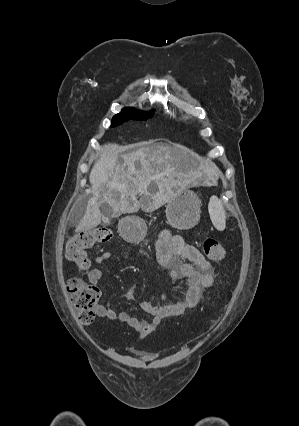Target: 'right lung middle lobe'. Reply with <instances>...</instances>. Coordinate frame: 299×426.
<instances>
[{
    "mask_svg": "<svg viewBox=\"0 0 299 426\" xmlns=\"http://www.w3.org/2000/svg\"><path fill=\"white\" fill-rule=\"evenodd\" d=\"M152 115L153 112L143 113L141 111H137L134 108H124L120 113L113 117L111 127L121 125L123 122L128 120H146Z\"/></svg>",
    "mask_w": 299,
    "mask_h": 426,
    "instance_id": "obj_1",
    "label": "right lung middle lobe"
}]
</instances>
